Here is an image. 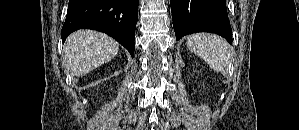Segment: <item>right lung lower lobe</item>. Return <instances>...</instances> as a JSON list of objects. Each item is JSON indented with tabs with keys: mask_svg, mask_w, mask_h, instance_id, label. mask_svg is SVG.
I'll return each mask as SVG.
<instances>
[{
	"mask_svg": "<svg viewBox=\"0 0 299 130\" xmlns=\"http://www.w3.org/2000/svg\"><path fill=\"white\" fill-rule=\"evenodd\" d=\"M138 0H69L61 38L78 29L102 31L134 56Z\"/></svg>",
	"mask_w": 299,
	"mask_h": 130,
	"instance_id": "98d812e1",
	"label": "right lung lower lobe"
}]
</instances>
